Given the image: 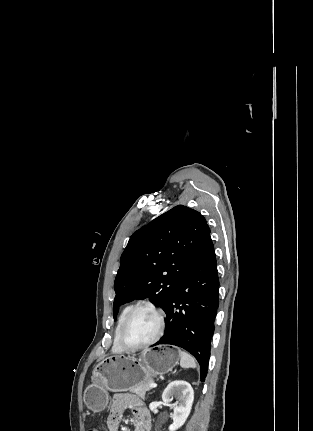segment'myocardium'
<instances>
[{"label":"myocardium","mask_w":313,"mask_h":431,"mask_svg":"<svg viewBox=\"0 0 313 431\" xmlns=\"http://www.w3.org/2000/svg\"><path fill=\"white\" fill-rule=\"evenodd\" d=\"M142 309L151 310L156 314V316L158 318V322H159L158 331H157L156 335L151 340H149L148 342L141 344V345L132 346V345H129L125 342L124 333H125V330H126L128 324L130 323L131 319L133 318V316L138 311H140ZM165 326H166V317H165L164 311L161 308H159L158 306H156L152 303L138 304L130 310V312L127 314L126 318L124 319V321L120 327V330H119L118 342H119L120 346L126 351H136V350H141V349L147 348V347L153 345L154 343H156L161 338V336L164 333Z\"/></svg>","instance_id":"f54148a6"}]
</instances>
